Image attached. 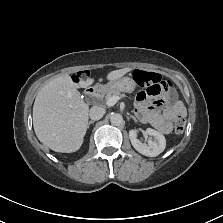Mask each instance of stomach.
Listing matches in <instances>:
<instances>
[{"mask_svg":"<svg viewBox=\"0 0 223 223\" xmlns=\"http://www.w3.org/2000/svg\"><path fill=\"white\" fill-rule=\"evenodd\" d=\"M97 85V84H96ZM96 85L94 86V88L96 87ZM103 86H107V90L109 89H119L121 91H125V92H130L133 90L134 86L136 85L134 80L131 79L130 77H123V78H118V79H114V80H110L107 83L102 84ZM115 87V88H114ZM96 90V88H95ZM97 92H99L98 90H96ZM102 91V90H101ZM104 92V91H102ZM101 92V94H102ZM100 93V92H99Z\"/></svg>","mask_w":223,"mask_h":223,"instance_id":"1","label":"stomach"}]
</instances>
